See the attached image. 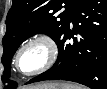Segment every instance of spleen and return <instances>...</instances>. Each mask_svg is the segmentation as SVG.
<instances>
[{"label":"spleen","instance_id":"obj_1","mask_svg":"<svg viewBox=\"0 0 107 89\" xmlns=\"http://www.w3.org/2000/svg\"><path fill=\"white\" fill-rule=\"evenodd\" d=\"M62 88L63 89H83V87L80 85H73V84H68V83L63 84Z\"/></svg>","mask_w":107,"mask_h":89}]
</instances>
